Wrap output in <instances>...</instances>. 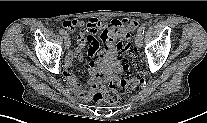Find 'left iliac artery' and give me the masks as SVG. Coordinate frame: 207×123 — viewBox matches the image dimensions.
<instances>
[{
    "mask_svg": "<svg viewBox=\"0 0 207 123\" xmlns=\"http://www.w3.org/2000/svg\"><path fill=\"white\" fill-rule=\"evenodd\" d=\"M144 32H145V25H141L138 29V33L144 34Z\"/></svg>",
    "mask_w": 207,
    "mask_h": 123,
    "instance_id": "left-iliac-artery-1",
    "label": "left iliac artery"
}]
</instances>
